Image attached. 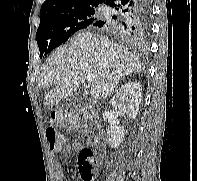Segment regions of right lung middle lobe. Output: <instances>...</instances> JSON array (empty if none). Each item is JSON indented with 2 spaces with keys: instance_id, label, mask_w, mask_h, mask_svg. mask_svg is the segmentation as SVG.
<instances>
[{
  "instance_id": "1",
  "label": "right lung middle lobe",
  "mask_w": 197,
  "mask_h": 181,
  "mask_svg": "<svg viewBox=\"0 0 197 181\" xmlns=\"http://www.w3.org/2000/svg\"><path fill=\"white\" fill-rule=\"evenodd\" d=\"M97 6L80 7L41 20L36 33L40 57H45L50 51L65 43L78 30L92 26L98 21Z\"/></svg>"
}]
</instances>
